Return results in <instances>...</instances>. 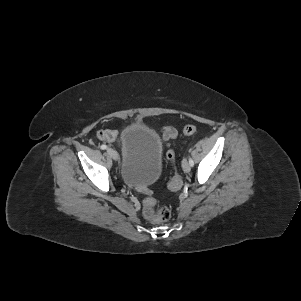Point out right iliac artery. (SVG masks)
<instances>
[{"mask_svg":"<svg viewBox=\"0 0 301 301\" xmlns=\"http://www.w3.org/2000/svg\"><path fill=\"white\" fill-rule=\"evenodd\" d=\"M102 150H105L107 148V146L105 144L101 145L100 147Z\"/></svg>","mask_w":301,"mask_h":301,"instance_id":"obj_1","label":"right iliac artery"}]
</instances>
